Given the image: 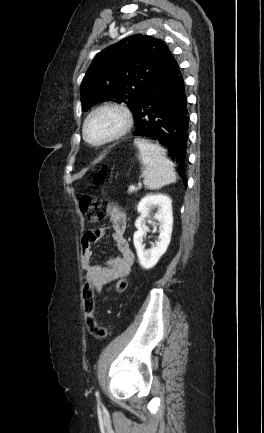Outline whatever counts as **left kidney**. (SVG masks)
Here are the masks:
<instances>
[{
  "mask_svg": "<svg viewBox=\"0 0 264 433\" xmlns=\"http://www.w3.org/2000/svg\"><path fill=\"white\" fill-rule=\"evenodd\" d=\"M153 207L158 208L154 218L158 221L159 240L155 243L154 247L146 250L143 244V224L145 219L149 217L150 210ZM137 210L140 216L135 221L137 231L134 233L133 242L140 265L142 268L149 270L158 263L171 241L173 225L172 200L164 194H149L141 199Z\"/></svg>",
  "mask_w": 264,
  "mask_h": 433,
  "instance_id": "left-kidney-1",
  "label": "left kidney"
}]
</instances>
